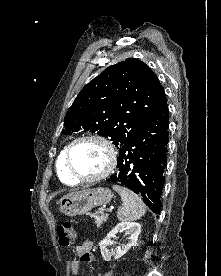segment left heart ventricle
I'll list each match as a JSON object with an SVG mask.
<instances>
[{
  "instance_id": "left-heart-ventricle-1",
  "label": "left heart ventricle",
  "mask_w": 221,
  "mask_h": 276,
  "mask_svg": "<svg viewBox=\"0 0 221 276\" xmlns=\"http://www.w3.org/2000/svg\"><path fill=\"white\" fill-rule=\"evenodd\" d=\"M108 154L96 141H82L71 152L73 170L80 176L91 177L99 174L106 167Z\"/></svg>"
}]
</instances>
